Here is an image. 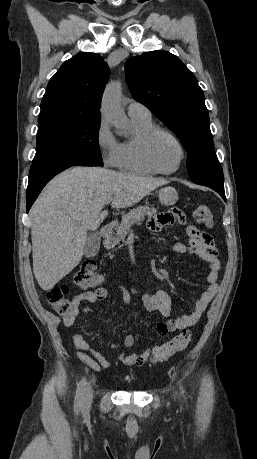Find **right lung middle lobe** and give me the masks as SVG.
<instances>
[{
    "instance_id": "right-lung-middle-lobe-1",
    "label": "right lung middle lobe",
    "mask_w": 257,
    "mask_h": 459,
    "mask_svg": "<svg viewBox=\"0 0 257 459\" xmlns=\"http://www.w3.org/2000/svg\"><path fill=\"white\" fill-rule=\"evenodd\" d=\"M100 121L67 112L40 113L33 163L76 156L103 166L98 143Z\"/></svg>"
}]
</instances>
